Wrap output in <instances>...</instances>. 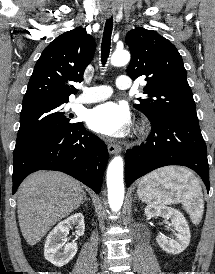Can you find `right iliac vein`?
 <instances>
[{
    "label": "right iliac vein",
    "mask_w": 215,
    "mask_h": 274,
    "mask_svg": "<svg viewBox=\"0 0 215 274\" xmlns=\"http://www.w3.org/2000/svg\"><path fill=\"white\" fill-rule=\"evenodd\" d=\"M98 274H105V273H103V272H100V273H98Z\"/></svg>",
    "instance_id": "63e3f726"
}]
</instances>
